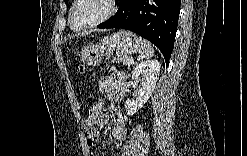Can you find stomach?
Returning a JSON list of instances; mask_svg holds the SVG:
<instances>
[{"instance_id": "1", "label": "stomach", "mask_w": 247, "mask_h": 156, "mask_svg": "<svg viewBox=\"0 0 247 156\" xmlns=\"http://www.w3.org/2000/svg\"><path fill=\"white\" fill-rule=\"evenodd\" d=\"M115 50L131 56L140 51L139 38L130 31L120 30L104 37L98 45L84 47L81 51V60L86 65L98 66L104 56L111 55Z\"/></svg>"}]
</instances>
